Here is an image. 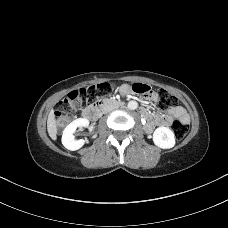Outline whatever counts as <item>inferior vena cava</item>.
<instances>
[{
  "mask_svg": "<svg viewBox=\"0 0 228 228\" xmlns=\"http://www.w3.org/2000/svg\"><path fill=\"white\" fill-rule=\"evenodd\" d=\"M115 108H116V106L106 107V108H104L103 113L110 112L111 110H113V109H115Z\"/></svg>",
  "mask_w": 228,
  "mask_h": 228,
  "instance_id": "602c4592",
  "label": "inferior vena cava"
}]
</instances>
